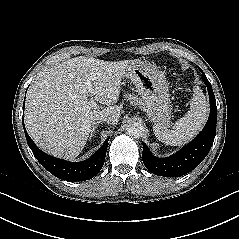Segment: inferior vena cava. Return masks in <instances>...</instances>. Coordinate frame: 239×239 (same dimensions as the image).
Returning <instances> with one entry per match:
<instances>
[{"label": "inferior vena cava", "instance_id": "602c4592", "mask_svg": "<svg viewBox=\"0 0 239 239\" xmlns=\"http://www.w3.org/2000/svg\"><path fill=\"white\" fill-rule=\"evenodd\" d=\"M94 121H104V122H107L108 124H113L114 123V119L110 116H104V115H101V116H96L94 118Z\"/></svg>", "mask_w": 239, "mask_h": 239}]
</instances>
